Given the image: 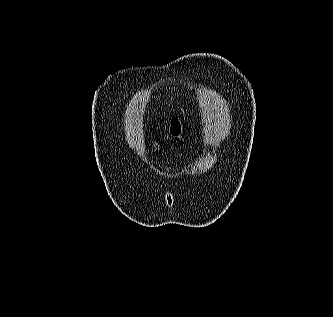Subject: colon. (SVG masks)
I'll use <instances>...</instances> for the list:
<instances>
[{
    "label": "colon",
    "instance_id": "obj_1",
    "mask_svg": "<svg viewBox=\"0 0 333 317\" xmlns=\"http://www.w3.org/2000/svg\"><path fill=\"white\" fill-rule=\"evenodd\" d=\"M183 130L182 122L179 118H173L170 124V133L173 136H180Z\"/></svg>",
    "mask_w": 333,
    "mask_h": 317
}]
</instances>
